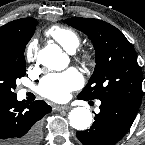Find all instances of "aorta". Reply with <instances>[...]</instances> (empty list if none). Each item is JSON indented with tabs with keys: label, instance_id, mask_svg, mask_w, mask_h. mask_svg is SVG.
<instances>
[{
	"label": "aorta",
	"instance_id": "obj_1",
	"mask_svg": "<svg viewBox=\"0 0 145 145\" xmlns=\"http://www.w3.org/2000/svg\"><path fill=\"white\" fill-rule=\"evenodd\" d=\"M38 61L43 66L61 71L69 64L68 56L55 44H51L41 49L38 53ZM92 114L85 107H76L69 113L70 125L76 130H86L92 124Z\"/></svg>",
	"mask_w": 145,
	"mask_h": 145
}]
</instances>
